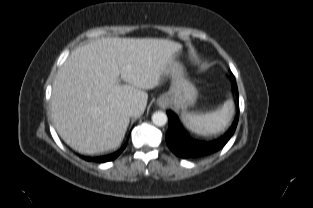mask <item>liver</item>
<instances>
[{"instance_id": "obj_1", "label": "liver", "mask_w": 313, "mask_h": 208, "mask_svg": "<svg viewBox=\"0 0 313 208\" xmlns=\"http://www.w3.org/2000/svg\"><path fill=\"white\" fill-rule=\"evenodd\" d=\"M182 45L156 38H102L76 48L58 70L51 106L56 129L64 141L84 154L117 148L130 116L120 112L136 102L132 116L145 111V90L161 84L167 65ZM123 80L126 84H120Z\"/></svg>"}]
</instances>
